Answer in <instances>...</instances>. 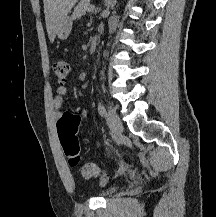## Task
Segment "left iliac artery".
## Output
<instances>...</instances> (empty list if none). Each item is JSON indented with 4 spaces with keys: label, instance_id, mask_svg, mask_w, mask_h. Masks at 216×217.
<instances>
[{
    "label": "left iliac artery",
    "instance_id": "1",
    "mask_svg": "<svg viewBox=\"0 0 216 217\" xmlns=\"http://www.w3.org/2000/svg\"><path fill=\"white\" fill-rule=\"evenodd\" d=\"M98 112L101 116H104L106 114V109L102 103L98 104Z\"/></svg>",
    "mask_w": 216,
    "mask_h": 217
}]
</instances>
